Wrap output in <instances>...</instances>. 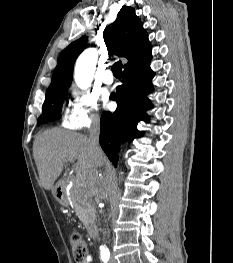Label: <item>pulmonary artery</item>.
<instances>
[{"mask_svg":"<svg viewBox=\"0 0 233 263\" xmlns=\"http://www.w3.org/2000/svg\"><path fill=\"white\" fill-rule=\"evenodd\" d=\"M102 80L107 85H111L114 82V77L111 70L107 69L104 71Z\"/></svg>","mask_w":233,"mask_h":263,"instance_id":"e3ab8cb5","label":"pulmonary artery"}]
</instances>
